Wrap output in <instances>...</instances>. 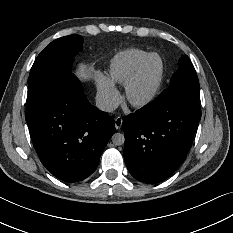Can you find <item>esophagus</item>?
<instances>
[{
    "label": "esophagus",
    "mask_w": 233,
    "mask_h": 233,
    "mask_svg": "<svg viewBox=\"0 0 233 233\" xmlns=\"http://www.w3.org/2000/svg\"><path fill=\"white\" fill-rule=\"evenodd\" d=\"M122 122H123L122 117H116V118H115L114 124H115V128H116L117 130L121 128Z\"/></svg>",
    "instance_id": "obj_1"
}]
</instances>
